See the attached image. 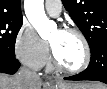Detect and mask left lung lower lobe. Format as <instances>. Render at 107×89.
<instances>
[{"label": "left lung lower lobe", "mask_w": 107, "mask_h": 89, "mask_svg": "<svg viewBox=\"0 0 107 89\" xmlns=\"http://www.w3.org/2000/svg\"><path fill=\"white\" fill-rule=\"evenodd\" d=\"M91 49L89 66L83 72L64 78L65 80H93L107 84V40H103Z\"/></svg>", "instance_id": "obj_1"}]
</instances>
